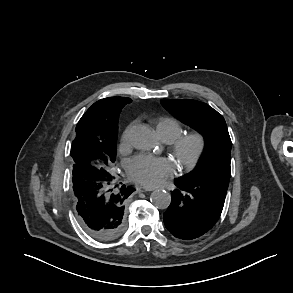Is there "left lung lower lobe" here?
<instances>
[{
    "mask_svg": "<svg viewBox=\"0 0 293 293\" xmlns=\"http://www.w3.org/2000/svg\"><path fill=\"white\" fill-rule=\"evenodd\" d=\"M177 189L164 213L169 232L180 239L190 240L209 231L219 219L228 186L204 184L184 178L175 180Z\"/></svg>",
    "mask_w": 293,
    "mask_h": 293,
    "instance_id": "0a47b994",
    "label": "left lung lower lobe"
}]
</instances>
